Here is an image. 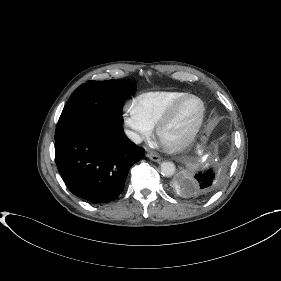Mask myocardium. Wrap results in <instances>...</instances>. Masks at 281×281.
<instances>
[{
  "label": "myocardium",
  "instance_id": "myocardium-1",
  "mask_svg": "<svg viewBox=\"0 0 281 281\" xmlns=\"http://www.w3.org/2000/svg\"><path fill=\"white\" fill-rule=\"evenodd\" d=\"M189 100H196L200 104V114H199L197 122L195 123L193 128L190 130V132L185 137L180 139L179 141L173 142V143L166 142L163 138L165 129L171 124V122L177 115L180 108ZM205 114H206V106L201 97L194 95V94H187L184 97H182L181 99H179L167 110V112L160 119V121L158 122V124L156 126L155 135H156V139H157L160 147L163 150L170 152V153H175V152L181 151L184 148H186L188 145H190L193 142V140L197 136L198 132L200 131V129L203 125L204 119H205Z\"/></svg>",
  "mask_w": 281,
  "mask_h": 281
}]
</instances>
